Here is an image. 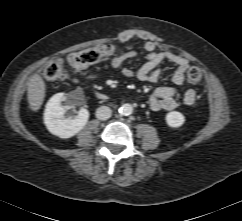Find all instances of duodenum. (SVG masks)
I'll return each instance as SVG.
<instances>
[{
    "label": "duodenum",
    "instance_id": "410a0bca",
    "mask_svg": "<svg viewBox=\"0 0 242 221\" xmlns=\"http://www.w3.org/2000/svg\"><path fill=\"white\" fill-rule=\"evenodd\" d=\"M96 96L99 98V99H107V95L100 92V91H97L96 92Z\"/></svg>",
    "mask_w": 242,
    "mask_h": 221
}]
</instances>
